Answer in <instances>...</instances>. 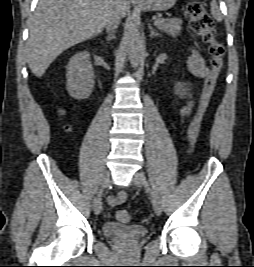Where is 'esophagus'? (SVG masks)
Listing matches in <instances>:
<instances>
[{
	"mask_svg": "<svg viewBox=\"0 0 254 267\" xmlns=\"http://www.w3.org/2000/svg\"><path fill=\"white\" fill-rule=\"evenodd\" d=\"M130 1H132V2H140L142 0H130Z\"/></svg>",
	"mask_w": 254,
	"mask_h": 267,
	"instance_id": "34e87169",
	"label": "esophagus"
}]
</instances>
